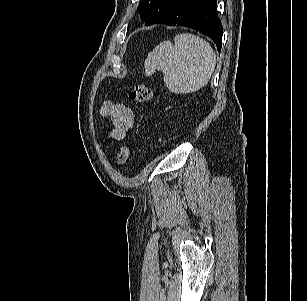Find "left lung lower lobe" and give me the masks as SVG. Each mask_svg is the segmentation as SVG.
I'll return each mask as SVG.
<instances>
[{
    "label": "left lung lower lobe",
    "instance_id": "obj_1",
    "mask_svg": "<svg viewBox=\"0 0 307 301\" xmlns=\"http://www.w3.org/2000/svg\"><path fill=\"white\" fill-rule=\"evenodd\" d=\"M156 23L195 29L210 37L218 51L221 50L223 28L217 14L216 0H179Z\"/></svg>",
    "mask_w": 307,
    "mask_h": 301
}]
</instances>
